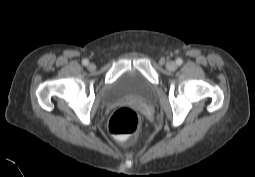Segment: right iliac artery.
<instances>
[{
    "label": "right iliac artery",
    "instance_id": "82829eb1",
    "mask_svg": "<svg viewBox=\"0 0 255 177\" xmlns=\"http://www.w3.org/2000/svg\"><path fill=\"white\" fill-rule=\"evenodd\" d=\"M82 64L87 66L89 64V61L87 59H83Z\"/></svg>",
    "mask_w": 255,
    "mask_h": 177
}]
</instances>
